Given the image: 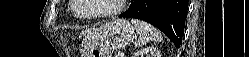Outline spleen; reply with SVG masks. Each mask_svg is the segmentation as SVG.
Segmentation results:
<instances>
[{
  "label": "spleen",
  "instance_id": "obj_1",
  "mask_svg": "<svg viewBox=\"0 0 249 57\" xmlns=\"http://www.w3.org/2000/svg\"><path fill=\"white\" fill-rule=\"evenodd\" d=\"M131 23L135 26L138 39L135 41L136 47H142L149 42H160L163 37L158 29L154 26L141 21L139 19H131Z\"/></svg>",
  "mask_w": 249,
  "mask_h": 57
}]
</instances>
